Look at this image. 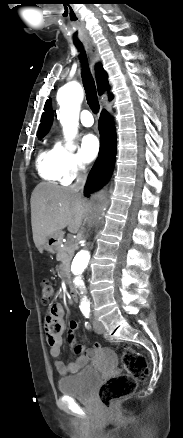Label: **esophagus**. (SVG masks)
<instances>
[{"label":"esophagus","instance_id":"1","mask_svg":"<svg viewBox=\"0 0 183 438\" xmlns=\"http://www.w3.org/2000/svg\"><path fill=\"white\" fill-rule=\"evenodd\" d=\"M85 46L89 52L91 70L94 72V66L100 61V55L92 42H86Z\"/></svg>","mask_w":183,"mask_h":438}]
</instances>
